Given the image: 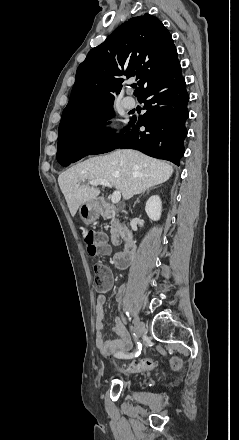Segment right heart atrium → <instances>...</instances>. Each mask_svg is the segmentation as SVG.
<instances>
[{"label": "right heart atrium", "instance_id": "obj_1", "mask_svg": "<svg viewBox=\"0 0 239 440\" xmlns=\"http://www.w3.org/2000/svg\"><path fill=\"white\" fill-rule=\"evenodd\" d=\"M88 141L94 145H104L114 139L111 121L107 118L96 121L88 129Z\"/></svg>", "mask_w": 239, "mask_h": 440}]
</instances>
